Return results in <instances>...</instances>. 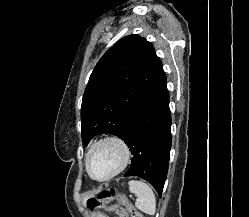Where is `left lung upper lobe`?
I'll return each mask as SVG.
<instances>
[{
	"label": "left lung upper lobe",
	"instance_id": "5c2ea615",
	"mask_svg": "<svg viewBox=\"0 0 249 217\" xmlns=\"http://www.w3.org/2000/svg\"><path fill=\"white\" fill-rule=\"evenodd\" d=\"M162 73V63L145 38L129 35L114 44L98 61L83 95V144L101 133L122 138L129 112Z\"/></svg>",
	"mask_w": 249,
	"mask_h": 217
}]
</instances>
